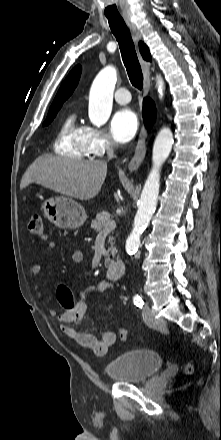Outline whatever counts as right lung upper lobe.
Here are the masks:
<instances>
[{
	"instance_id": "right-lung-upper-lobe-1",
	"label": "right lung upper lobe",
	"mask_w": 221,
	"mask_h": 440,
	"mask_svg": "<svg viewBox=\"0 0 221 440\" xmlns=\"http://www.w3.org/2000/svg\"><path fill=\"white\" fill-rule=\"evenodd\" d=\"M139 48L143 58L145 60L150 61L151 55L148 47L143 42H139ZM80 74H81V66L77 65L71 70V72L68 74L63 84L59 88L56 97L49 110H52L53 108L58 106H62L63 102L72 94V92L76 88L80 78Z\"/></svg>"
}]
</instances>
